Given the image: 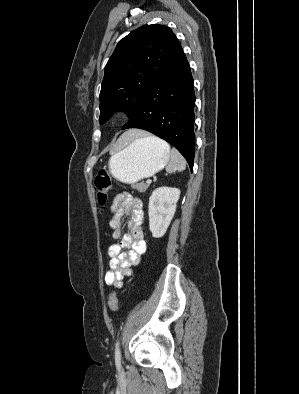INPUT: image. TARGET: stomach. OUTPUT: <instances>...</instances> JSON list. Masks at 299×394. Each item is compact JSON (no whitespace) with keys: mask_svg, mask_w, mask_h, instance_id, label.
Returning <instances> with one entry per match:
<instances>
[{"mask_svg":"<svg viewBox=\"0 0 299 394\" xmlns=\"http://www.w3.org/2000/svg\"><path fill=\"white\" fill-rule=\"evenodd\" d=\"M170 159L169 148L146 138H138L112 155L109 170L122 183L135 184L161 170Z\"/></svg>","mask_w":299,"mask_h":394,"instance_id":"1","label":"stomach"}]
</instances>
